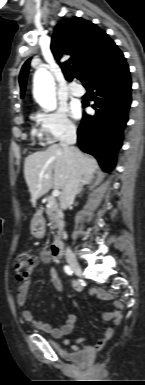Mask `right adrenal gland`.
I'll list each match as a JSON object with an SVG mask.
<instances>
[{"label":"right adrenal gland","mask_w":145,"mask_h":385,"mask_svg":"<svg viewBox=\"0 0 145 385\" xmlns=\"http://www.w3.org/2000/svg\"><path fill=\"white\" fill-rule=\"evenodd\" d=\"M92 181H93V177H92V178H86V177H83L82 180H81L79 189H78V191H77V194H80V192H81L82 189H83V186L91 184Z\"/></svg>","instance_id":"right-adrenal-gland-1"}]
</instances>
